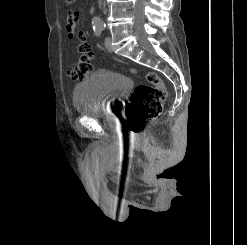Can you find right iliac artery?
<instances>
[{
    "label": "right iliac artery",
    "instance_id": "82829eb1",
    "mask_svg": "<svg viewBox=\"0 0 247 245\" xmlns=\"http://www.w3.org/2000/svg\"><path fill=\"white\" fill-rule=\"evenodd\" d=\"M94 31H95V34H96L97 36H100V35H101L102 29L99 28V27H94Z\"/></svg>",
    "mask_w": 247,
    "mask_h": 245
}]
</instances>
